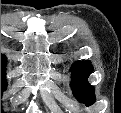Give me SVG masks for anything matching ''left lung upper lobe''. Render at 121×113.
<instances>
[{
  "instance_id": "obj_1",
  "label": "left lung upper lobe",
  "mask_w": 121,
  "mask_h": 113,
  "mask_svg": "<svg viewBox=\"0 0 121 113\" xmlns=\"http://www.w3.org/2000/svg\"><path fill=\"white\" fill-rule=\"evenodd\" d=\"M72 89L75 97L86 106L95 102L94 88L87 82L93 71L90 61L75 62L72 67Z\"/></svg>"
}]
</instances>
